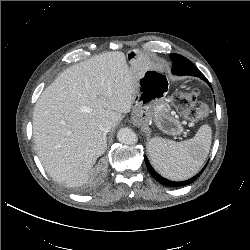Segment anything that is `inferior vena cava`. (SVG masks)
Returning <instances> with one entry per match:
<instances>
[{
	"mask_svg": "<svg viewBox=\"0 0 250 250\" xmlns=\"http://www.w3.org/2000/svg\"><path fill=\"white\" fill-rule=\"evenodd\" d=\"M99 128L102 132L104 133H108L111 129V125L109 122H102L100 125H99Z\"/></svg>",
	"mask_w": 250,
	"mask_h": 250,
	"instance_id": "inferior-vena-cava-1",
	"label": "inferior vena cava"
}]
</instances>
